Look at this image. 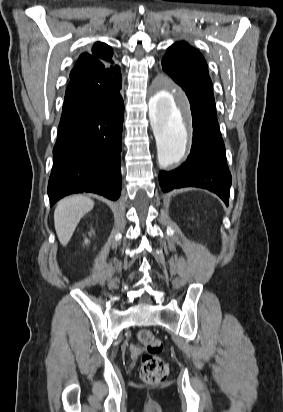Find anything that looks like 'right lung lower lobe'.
Segmentation results:
<instances>
[{
    "label": "right lung lower lobe",
    "mask_w": 283,
    "mask_h": 412,
    "mask_svg": "<svg viewBox=\"0 0 283 412\" xmlns=\"http://www.w3.org/2000/svg\"><path fill=\"white\" fill-rule=\"evenodd\" d=\"M122 81L94 82L65 97L48 183L50 206L73 193L121 192Z\"/></svg>",
    "instance_id": "98d812e1"
}]
</instances>
